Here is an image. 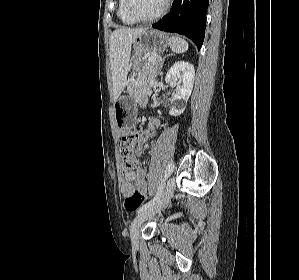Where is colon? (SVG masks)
I'll return each mask as SVG.
<instances>
[{"instance_id": "1", "label": "colon", "mask_w": 299, "mask_h": 280, "mask_svg": "<svg viewBox=\"0 0 299 280\" xmlns=\"http://www.w3.org/2000/svg\"><path fill=\"white\" fill-rule=\"evenodd\" d=\"M143 128L141 125H136L129 131L121 140V155L123 158V171L128 172L138 167V162L134 157V148L136 146L138 136H142ZM144 197L139 192H134L131 196L126 197L124 200L125 209L134 212L143 203Z\"/></svg>"}]
</instances>
